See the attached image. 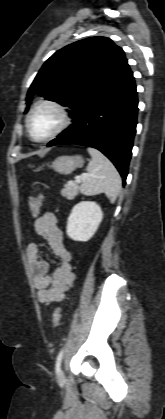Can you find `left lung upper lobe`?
Returning a JSON list of instances; mask_svg holds the SVG:
<instances>
[{
  "mask_svg": "<svg viewBox=\"0 0 165 419\" xmlns=\"http://www.w3.org/2000/svg\"><path fill=\"white\" fill-rule=\"evenodd\" d=\"M128 66L124 51L106 37H91L56 51L42 66L27 93L68 106L73 118L83 103L98 94ZM28 110V107L26 111Z\"/></svg>",
  "mask_w": 165,
  "mask_h": 419,
  "instance_id": "1",
  "label": "left lung upper lobe"
}]
</instances>
